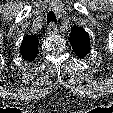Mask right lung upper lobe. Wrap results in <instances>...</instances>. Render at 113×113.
<instances>
[{
	"label": "right lung upper lobe",
	"instance_id": "1",
	"mask_svg": "<svg viewBox=\"0 0 113 113\" xmlns=\"http://www.w3.org/2000/svg\"><path fill=\"white\" fill-rule=\"evenodd\" d=\"M39 40L34 36H26L20 46V54L23 59L33 61L38 53Z\"/></svg>",
	"mask_w": 113,
	"mask_h": 113
}]
</instances>
